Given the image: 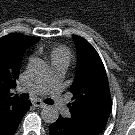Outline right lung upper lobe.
<instances>
[{
    "mask_svg": "<svg viewBox=\"0 0 135 135\" xmlns=\"http://www.w3.org/2000/svg\"><path fill=\"white\" fill-rule=\"evenodd\" d=\"M39 39L21 34L0 38V108L21 102L17 96L11 97L9 90L16 85L24 51Z\"/></svg>",
    "mask_w": 135,
    "mask_h": 135,
    "instance_id": "1",
    "label": "right lung upper lobe"
}]
</instances>
